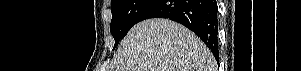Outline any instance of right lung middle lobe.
Masks as SVG:
<instances>
[{
    "label": "right lung middle lobe",
    "instance_id": "dd1d6c3e",
    "mask_svg": "<svg viewBox=\"0 0 301 71\" xmlns=\"http://www.w3.org/2000/svg\"><path fill=\"white\" fill-rule=\"evenodd\" d=\"M155 0H111V34L115 39V45L127 34L140 16Z\"/></svg>",
    "mask_w": 301,
    "mask_h": 71
}]
</instances>
